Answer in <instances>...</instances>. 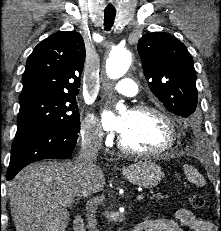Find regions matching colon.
Returning <instances> with one entry per match:
<instances>
[{
    "mask_svg": "<svg viewBox=\"0 0 221 231\" xmlns=\"http://www.w3.org/2000/svg\"><path fill=\"white\" fill-rule=\"evenodd\" d=\"M189 202L193 208L200 209L204 206V199L199 194H192L189 197Z\"/></svg>",
    "mask_w": 221,
    "mask_h": 231,
    "instance_id": "5ec220e1",
    "label": "colon"
}]
</instances>
